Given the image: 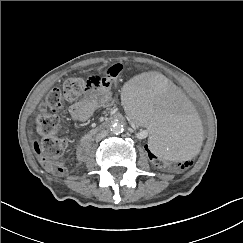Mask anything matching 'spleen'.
Segmentation results:
<instances>
[{
  "label": "spleen",
  "mask_w": 243,
  "mask_h": 243,
  "mask_svg": "<svg viewBox=\"0 0 243 243\" xmlns=\"http://www.w3.org/2000/svg\"><path fill=\"white\" fill-rule=\"evenodd\" d=\"M123 106L134 120L146 123V143L158 156L187 161L198 151L200 135L189 101L169 79L142 74L123 92Z\"/></svg>",
  "instance_id": "3e777b00"
}]
</instances>
